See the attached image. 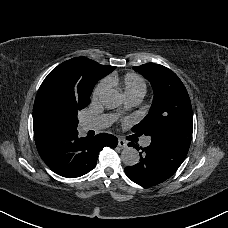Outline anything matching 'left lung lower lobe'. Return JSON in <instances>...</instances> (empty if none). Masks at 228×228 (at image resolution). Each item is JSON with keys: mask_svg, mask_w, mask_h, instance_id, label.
Instances as JSON below:
<instances>
[{"mask_svg": "<svg viewBox=\"0 0 228 228\" xmlns=\"http://www.w3.org/2000/svg\"><path fill=\"white\" fill-rule=\"evenodd\" d=\"M136 138V134L132 136ZM129 146L142 150L138 164L125 167L126 175L142 186H154L171 177L184 161L189 146L174 140L152 136L148 147Z\"/></svg>", "mask_w": 228, "mask_h": 228, "instance_id": "obj_1", "label": "left lung lower lobe"}]
</instances>
